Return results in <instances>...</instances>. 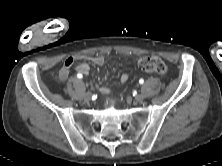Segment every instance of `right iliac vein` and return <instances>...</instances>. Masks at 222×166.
I'll list each match as a JSON object with an SVG mask.
<instances>
[{
	"instance_id": "obj_1",
	"label": "right iliac vein",
	"mask_w": 222,
	"mask_h": 166,
	"mask_svg": "<svg viewBox=\"0 0 222 166\" xmlns=\"http://www.w3.org/2000/svg\"><path fill=\"white\" fill-rule=\"evenodd\" d=\"M91 93L90 92H87V93H85V95H84V99H85V101H90L91 100Z\"/></svg>"
}]
</instances>
